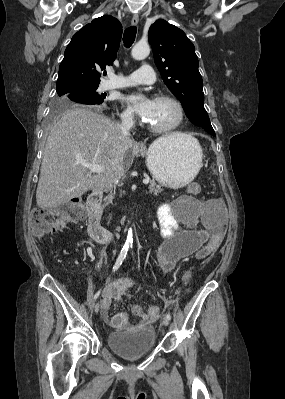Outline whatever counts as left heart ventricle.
Wrapping results in <instances>:
<instances>
[{"label":"left heart ventricle","instance_id":"b2bd125f","mask_svg":"<svg viewBox=\"0 0 285 399\" xmlns=\"http://www.w3.org/2000/svg\"><path fill=\"white\" fill-rule=\"evenodd\" d=\"M179 114L176 106L165 100H156L148 123L157 127H165L174 124Z\"/></svg>","mask_w":285,"mask_h":399}]
</instances>
